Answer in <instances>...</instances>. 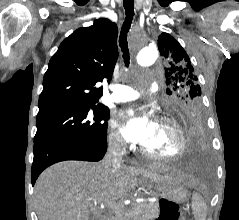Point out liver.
<instances>
[{
    "instance_id": "liver-1",
    "label": "liver",
    "mask_w": 239,
    "mask_h": 220,
    "mask_svg": "<svg viewBox=\"0 0 239 220\" xmlns=\"http://www.w3.org/2000/svg\"><path fill=\"white\" fill-rule=\"evenodd\" d=\"M151 182L177 181L190 185L180 171L160 175L138 167H108L100 163L63 161L37 179L34 200L39 220H104L97 203L111 205L138 186V176Z\"/></svg>"
}]
</instances>
